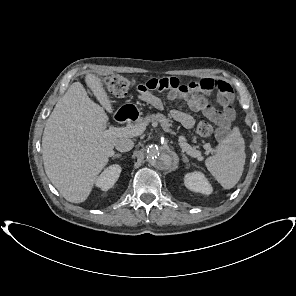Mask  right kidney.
Returning a JSON list of instances; mask_svg holds the SVG:
<instances>
[{"mask_svg":"<svg viewBox=\"0 0 296 296\" xmlns=\"http://www.w3.org/2000/svg\"><path fill=\"white\" fill-rule=\"evenodd\" d=\"M121 173V167L117 164L107 167L96 180V186L103 191L112 188L118 180Z\"/></svg>","mask_w":296,"mask_h":296,"instance_id":"obj_1","label":"right kidney"}]
</instances>
